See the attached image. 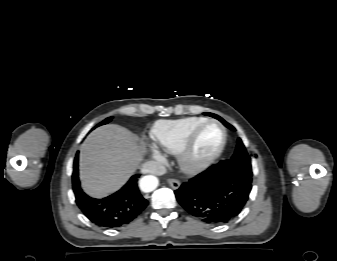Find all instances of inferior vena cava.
Instances as JSON below:
<instances>
[{
  "mask_svg": "<svg viewBox=\"0 0 337 261\" xmlns=\"http://www.w3.org/2000/svg\"><path fill=\"white\" fill-rule=\"evenodd\" d=\"M141 172L146 174V173H151V174H157V175H162L165 174L166 170L163 165L160 163H157L155 161H148L145 162L141 166Z\"/></svg>",
  "mask_w": 337,
  "mask_h": 261,
  "instance_id": "inferior-vena-cava-1",
  "label": "inferior vena cava"
}]
</instances>
